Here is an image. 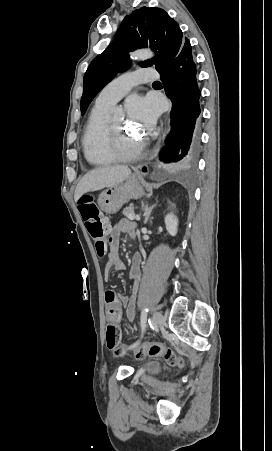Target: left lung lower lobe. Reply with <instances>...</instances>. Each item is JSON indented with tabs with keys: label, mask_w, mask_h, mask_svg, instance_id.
<instances>
[{
	"label": "left lung lower lobe",
	"mask_w": 272,
	"mask_h": 451,
	"mask_svg": "<svg viewBox=\"0 0 272 451\" xmlns=\"http://www.w3.org/2000/svg\"><path fill=\"white\" fill-rule=\"evenodd\" d=\"M166 94L172 100L171 131L161 160L172 169L191 166L197 157L200 124V89L190 41L185 38L177 56L159 71Z\"/></svg>",
	"instance_id": "obj_1"
}]
</instances>
